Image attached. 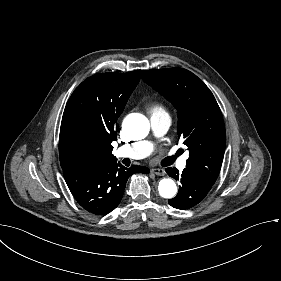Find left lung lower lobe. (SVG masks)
Listing matches in <instances>:
<instances>
[{"mask_svg":"<svg viewBox=\"0 0 281 281\" xmlns=\"http://www.w3.org/2000/svg\"><path fill=\"white\" fill-rule=\"evenodd\" d=\"M166 172L174 179H180L181 182L177 196L168 200V203L177 209L184 210L197 205L214 184L190 168H185L182 173H179L176 168L168 167Z\"/></svg>","mask_w":281,"mask_h":281,"instance_id":"1","label":"left lung lower lobe"}]
</instances>
